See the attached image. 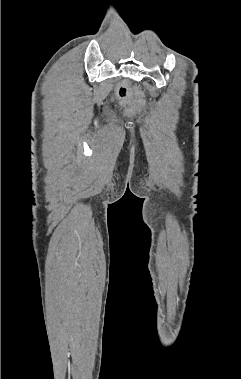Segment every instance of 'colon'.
Listing matches in <instances>:
<instances>
[{"label":"colon","instance_id":"5ec220e1","mask_svg":"<svg viewBox=\"0 0 241 379\" xmlns=\"http://www.w3.org/2000/svg\"><path fill=\"white\" fill-rule=\"evenodd\" d=\"M118 99L125 104H132L135 110H138L142 107L143 102L141 100H132L123 86L119 87L117 90Z\"/></svg>","mask_w":241,"mask_h":379}]
</instances>
